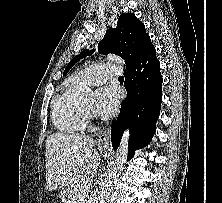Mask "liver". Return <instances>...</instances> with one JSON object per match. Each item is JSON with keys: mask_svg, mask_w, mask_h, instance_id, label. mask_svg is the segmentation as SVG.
<instances>
[{"mask_svg": "<svg viewBox=\"0 0 222 203\" xmlns=\"http://www.w3.org/2000/svg\"><path fill=\"white\" fill-rule=\"evenodd\" d=\"M90 136L55 133L46 140L45 166L49 191L62 188L70 195L76 181L92 178L100 164V155Z\"/></svg>", "mask_w": 222, "mask_h": 203, "instance_id": "1", "label": "liver"}]
</instances>
